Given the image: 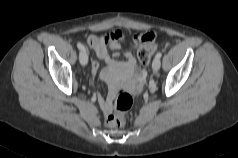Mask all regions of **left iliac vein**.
Here are the masks:
<instances>
[{
  "label": "left iliac vein",
  "mask_w": 238,
  "mask_h": 158,
  "mask_svg": "<svg viewBox=\"0 0 238 158\" xmlns=\"http://www.w3.org/2000/svg\"><path fill=\"white\" fill-rule=\"evenodd\" d=\"M161 62L159 58H154L152 62V69L154 72H157L160 69Z\"/></svg>",
  "instance_id": "left-iliac-vein-1"
}]
</instances>
